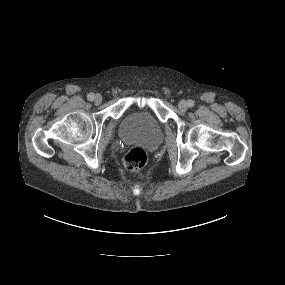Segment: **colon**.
<instances>
[{
  "mask_svg": "<svg viewBox=\"0 0 285 285\" xmlns=\"http://www.w3.org/2000/svg\"><path fill=\"white\" fill-rule=\"evenodd\" d=\"M148 153L142 147L131 148L124 156V166L129 172L138 173L146 165Z\"/></svg>",
  "mask_w": 285,
  "mask_h": 285,
  "instance_id": "obj_1",
  "label": "colon"
}]
</instances>
